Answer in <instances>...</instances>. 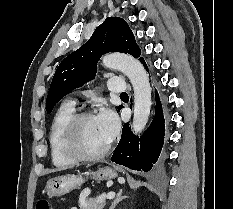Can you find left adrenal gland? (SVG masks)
<instances>
[{"instance_id":"a2214340","label":"left adrenal gland","mask_w":233,"mask_h":209,"mask_svg":"<svg viewBox=\"0 0 233 209\" xmlns=\"http://www.w3.org/2000/svg\"><path fill=\"white\" fill-rule=\"evenodd\" d=\"M127 198V196H122V190H120L115 198V200L112 202L109 209H114L115 206L121 202L123 199Z\"/></svg>"}]
</instances>
